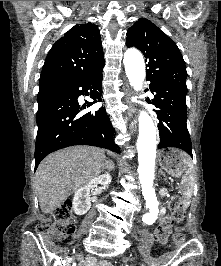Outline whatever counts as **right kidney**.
Here are the masks:
<instances>
[{
    "mask_svg": "<svg viewBox=\"0 0 221 266\" xmlns=\"http://www.w3.org/2000/svg\"><path fill=\"white\" fill-rule=\"evenodd\" d=\"M110 174H103L92 179L87 185L80 187L73 197V209L77 215H84L91 207L90 189L98 184L102 185V189H106L111 182Z\"/></svg>",
    "mask_w": 221,
    "mask_h": 266,
    "instance_id": "1",
    "label": "right kidney"
}]
</instances>
